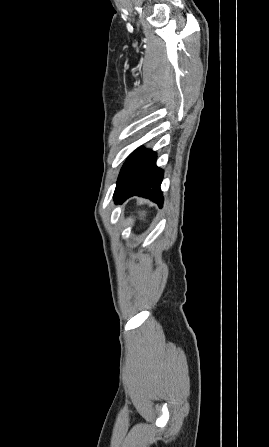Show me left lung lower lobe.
Wrapping results in <instances>:
<instances>
[{
	"mask_svg": "<svg viewBox=\"0 0 269 447\" xmlns=\"http://www.w3.org/2000/svg\"><path fill=\"white\" fill-rule=\"evenodd\" d=\"M156 154L139 148L124 163L114 192L115 203L137 195L149 198L162 207L163 196L160 185L163 171L155 164Z\"/></svg>",
	"mask_w": 269,
	"mask_h": 447,
	"instance_id": "obj_1",
	"label": "left lung lower lobe"
}]
</instances>
